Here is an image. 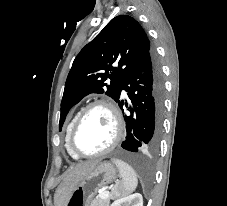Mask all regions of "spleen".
Here are the masks:
<instances>
[{"label": "spleen", "instance_id": "obj_1", "mask_svg": "<svg viewBox=\"0 0 227 206\" xmlns=\"http://www.w3.org/2000/svg\"><path fill=\"white\" fill-rule=\"evenodd\" d=\"M112 161L119 169L120 177L122 178L113 187L112 196L118 198L132 193L138 185L136 172L130 165L119 159H112Z\"/></svg>", "mask_w": 227, "mask_h": 206}]
</instances>
